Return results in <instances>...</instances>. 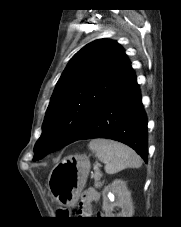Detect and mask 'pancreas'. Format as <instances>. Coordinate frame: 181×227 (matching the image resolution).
Masks as SVG:
<instances>
[{"mask_svg":"<svg viewBox=\"0 0 181 227\" xmlns=\"http://www.w3.org/2000/svg\"><path fill=\"white\" fill-rule=\"evenodd\" d=\"M94 179H95V188H100L102 186V183L99 181L100 180V175H94Z\"/></svg>","mask_w":181,"mask_h":227,"instance_id":"pancreas-1","label":"pancreas"}]
</instances>
